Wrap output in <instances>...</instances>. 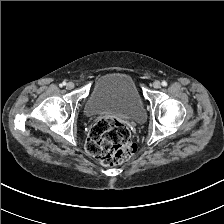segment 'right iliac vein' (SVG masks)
<instances>
[{"label":"right iliac vein","mask_w":224,"mask_h":224,"mask_svg":"<svg viewBox=\"0 0 224 224\" xmlns=\"http://www.w3.org/2000/svg\"><path fill=\"white\" fill-rule=\"evenodd\" d=\"M66 88H67L68 90L73 89V88H74V83H73V82H68L67 85H66Z\"/></svg>","instance_id":"right-iliac-vein-1"}]
</instances>
